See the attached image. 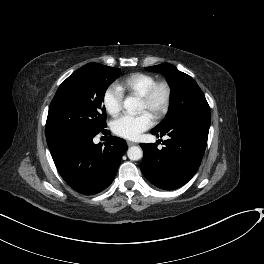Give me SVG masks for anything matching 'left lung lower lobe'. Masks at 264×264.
Returning <instances> with one entry per match:
<instances>
[{
  "label": "left lung lower lobe",
  "instance_id": "left-lung-lower-lobe-1",
  "mask_svg": "<svg viewBox=\"0 0 264 264\" xmlns=\"http://www.w3.org/2000/svg\"><path fill=\"white\" fill-rule=\"evenodd\" d=\"M210 115L198 114L182 119L152 134L169 139L159 150L156 144H140V164L146 179L158 188L173 190L186 184L197 172L207 145Z\"/></svg>",
  "mask_w": 264,
  "mask_h": 264
}]
</instances>
